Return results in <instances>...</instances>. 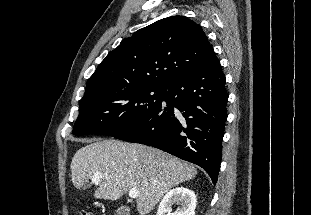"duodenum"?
Listing matches in <instances>:
<instances>
[{
  "label": "duodenum",
  "instance_id": "410a0bca",
  "mask_svg": "<svg viewBox=\"0 0 311 215\" xmlns=\"http://www.w3.org/2000/svg\"><path fill=\"white\" fill-rule=\"evenodd\" d=\"M119 215H129L128 209L123 207L119 211Z\"/></svg>",
  "mask_w": 311,
  "mask_h": 215
}]
</instances>
